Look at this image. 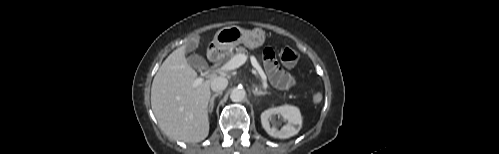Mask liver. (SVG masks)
<instances>
[{
    "instance_id": "1",
    "label": "liver",
    "mask_w": 499,
    "mask_h": 154,
    "mask_svg": "<svg viewBox=\"0 0 499 154\" xmlns=\"http://www.w3.org/2000/svg\"><path fill=\"white\" fill-rule=\"evenodd\" d=\"M196 71L188 64L186 44L173 51L156 73L151 107L162 131L174 140L200 142L209 134L210 80L194 86Z\"/></svg>"
}]
</instances>
